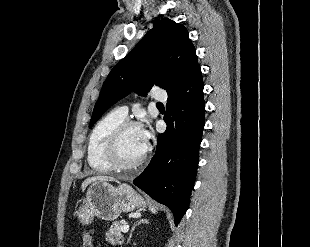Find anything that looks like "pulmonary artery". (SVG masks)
<instances>
[{"instance_id": "pulmonary-artery-1", "label": "pulmonary artery", "mask_w": 310, "mask_h": 247, "mask_svg": "<svg viewBox=\"0 0 310 247\" xmlns=\"http://www.w3.org/2000/svg\"><path fill=\"white\" fill-rule=\"evenodd\" d=\"M153 98L157 101H166L167 99V94L164 92H154L153 93ZM120 114H122L123 116H127L128 114V107L127 106H119L116 109Z\"/></svg>"}]
</instances>
